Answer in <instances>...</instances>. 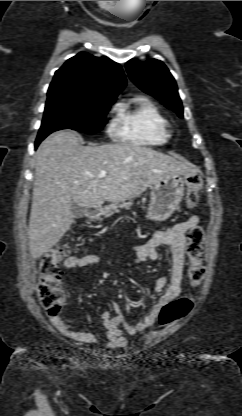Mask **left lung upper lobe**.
Instances as JSON below:
<instances>
[{"label": "left lung upper lobe", "mask_w": 242, "mask_h": 416, "mask_svg": "<svg viewBox=\"0 0 242 416\" xmlns=\"http://www.w3.org/2000/svg\"><path fill=\"white\" fill-rule=\"evenodd\" d=\"M130 79L145 93L154 96L168 109L183 117V107L176 82L168 68L160 60L140 62L131 59L126 63Z\"/></svg>", "instance_id": "1"}]
</instances>
